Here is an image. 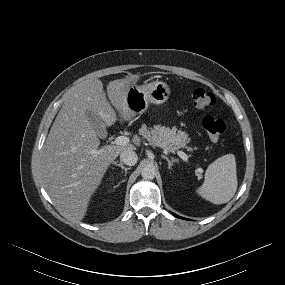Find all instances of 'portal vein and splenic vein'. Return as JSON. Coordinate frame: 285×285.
<instances>
[{
	"instance_id": "1",
	"label": "portal vein and splenic vein",
	"mask_w": 285,
	"mask_h": 285,
	"mask_svg": "<svg viewBox=\"0 0 285 285\" xmlns=\"http://www.w3.org/2000/svg\"><path fill=\"white\" fill-rule=\"evenodd\" d=\"M129 143V138L126 136H118L114 140V144L116 145H127ZM177 154L179 155L180 158H182L184 161H188V155L182 151H178ZM198 171L202 173V169L198 168Z\"/></svg>"
}]
</instances>
